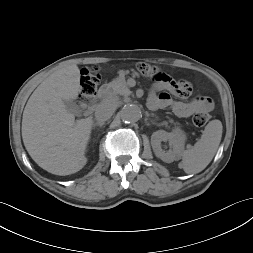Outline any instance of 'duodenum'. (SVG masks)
<instances>
[{
  "instance_id": "1",
  "label": "duodenum",
  "mask_w": 253,
  "mask_h": 253,
  "mask_svg": "<svg viewBox=\"0 0 253 253\" xmlns=\"http://www.w3.org/2000/svg\"><path fill=\"white\" fill-rule=\"evenodd\" d=\"M105 93H106L105 89H101V90L99 91V96H100V97H103V96L105 95Z\"/></svg>"
}]
</instances>
